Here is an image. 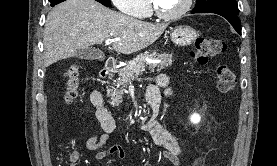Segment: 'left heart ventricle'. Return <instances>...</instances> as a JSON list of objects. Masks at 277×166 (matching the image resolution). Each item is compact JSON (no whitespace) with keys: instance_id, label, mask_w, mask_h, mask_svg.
Segmentation results:
<instances>
[{"instance_id":"b2bd125f","label":"left heart ventricle","mask_w":277,"mask_h":166,"mask_svg":"<svg viewBox=\"0 0 277 166\" xmlns=\"http://www.w3.org/2000/svg\"><path fill=\"white\" fill-rule=\"evenodd\" d=\"M158 7L166 14H172L179 11L186 0H155Z\"/></svg>"}]
</instances>
